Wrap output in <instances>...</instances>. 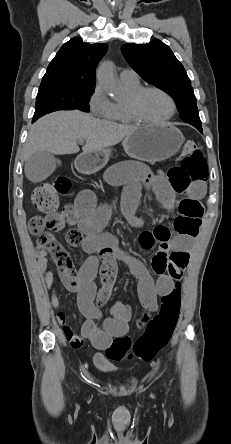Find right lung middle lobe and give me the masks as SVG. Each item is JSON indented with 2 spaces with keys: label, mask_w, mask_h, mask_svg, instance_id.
Returning a JSON list of instances; mask_svg holds the SVG:
<instances>
[{
  "label": "right lung middle lobe",
  "mask_w": 231,
  "mask_h": 444,
  "mask_svg": "<svg viewBox=\"0 0 231 444\" xmlns=\"http://www.w3.org/2000/svg\"><path fill=\"white\" fill-rule=\"evenodd\" d=\"M93 92L94 88H39L33 122L39 117L57 110L78 109L87 112V102Z\"/></svg>",
  "instance_id": "1"
}]
</instances>
